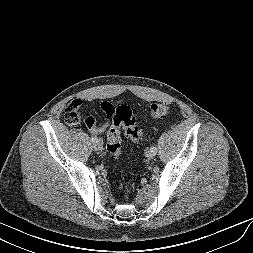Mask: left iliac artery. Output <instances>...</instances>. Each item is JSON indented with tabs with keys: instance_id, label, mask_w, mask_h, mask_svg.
<instances>
[{
	"instance_id": "1",
	"label": "left iliac artery",
	"mask_w": 253,
	"mask_h": 253,
	"mask_svg": "<svg viewBox=\"0 0 253 253\" xmlns=\"http://www.w3.org/2000/svg\"><path fill=\"white\" fill-rule=\"evenodd\" d=\"M151 149L154 150V151H157L156 146H152Z\"/></svg>"
}]
</instances>
